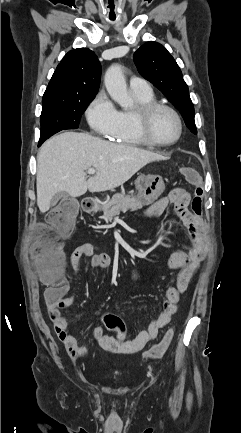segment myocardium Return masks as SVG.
<instances>
[{"instance_id":"obj_1","label":"myocardium","mask_w":241,"mask_h":433,"mask_svg":"<svg viewBox=\"0 0 241 433\" xmlns=\"http://www.w3.org/2000/svg\"><path fill=\"white\" fill-rule=\"evenodd\" d=\"M160 110H166L170 112L175 118L178 125V133L174 140L170 142H161L155 139L151 133V123L155 114ZM135 120L137 129L144 139V141L153 146L158 147H167L176 144L183 133V123L179 113L170 105L153 101L147 104H142L136 107L135 109Z\"/></svg>"}]
</instances>
